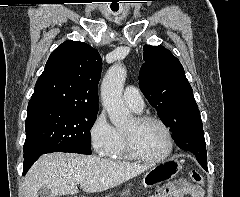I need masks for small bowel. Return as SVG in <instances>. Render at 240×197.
Segmentation results:
<instances>
[{
  "label": "small bowel",
  "instance_id": "obj_1",
  "mask_svg": "<svg viewBox=\"0 0 240 197\" xmlns=\"http://www.w3.org/2000/svg\"><path fill=\"white\" fill-rule=\"evenodd\" d=\"M166 192V197H203L204 194L200 186L186 182L171 184Z\"/></svg>",
  "mask_w": 240,
  "mask_h": 197
}]
</instances>
